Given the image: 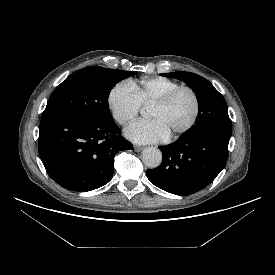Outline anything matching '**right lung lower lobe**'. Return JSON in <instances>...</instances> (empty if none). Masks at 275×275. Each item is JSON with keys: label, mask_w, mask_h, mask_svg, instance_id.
<instances>
[{"label": "right lung lower lobe", "mask_w": 275, "mask_h": 275, "mask_svg": "<svg viewBox=\"0 0 275 275\" xmlns=\"http://www.w3.org/2000/svg\"><path fill=\"white\" fill-rule=\"evenodd\" d=\"M38 148L56 183L72 191H91L111 180L115 155L133 145L114 122L55 112L42 115Z\"/></svg>", "instance_id": "obj_1"}]
</instances>
